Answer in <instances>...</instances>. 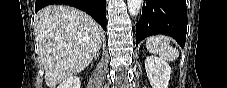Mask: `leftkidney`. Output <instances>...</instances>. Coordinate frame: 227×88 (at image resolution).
Masks as SVG:
<instances>
[{
  "instance_id": "left-kidney-1",
  "label": "left kidney",
  "mask_w": 227,
  "mask_h": 88,
  "mask_svg": "<svg viewBox=\"0 0 227 88\" xmlns=\"http://www.w3.org/2000/svg\"><path fill=\"white\" fill-rule=\"evenodd\" d=\"M145 69L152 88H168L171 68L166 61L155 56H148Z\"/></svg>"
}]
</instances>
